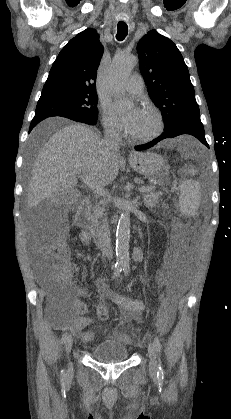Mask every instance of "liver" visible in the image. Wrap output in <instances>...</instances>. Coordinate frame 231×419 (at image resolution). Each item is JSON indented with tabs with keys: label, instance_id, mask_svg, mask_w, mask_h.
<instances>
[{
	"label": "liver",
	"instance_id": "liver-1",
	"mask_svg": "<svg viewBox=\"0 0 231 419\" xmlns=\"http://www.w3.org/2000/svg\"><path fill=\"white\" fill-rule=\"evenodd\" d=\"M119 166V156L107 151L96 132L81 124L66 125L49 138L37 156L28 186V206L61 198L76 186L78 173L90 175L101 187L108 185L117 177Z\"/></svg>",
	"mask_w": 231,
	"mask_h": 419
}]
</instances>
